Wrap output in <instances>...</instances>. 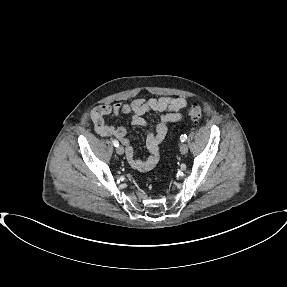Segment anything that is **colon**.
Listing matches in <instances>:
<instances>
[{"mask_svg":"<svg viewBox=\"0 0 287 287\" xmlns=\"http://www.w3.org/2000/svg\"><path fill=\"white\" fill-rule=\"evenodd\" d=\"M187 115L190 119L198 121L202 117V109L198 103L191 104L187 109Z\"/></svg>","mask_w":287,"mask_h":287,"instance_id":"colon-1","label":"colon"}]
</instances>
